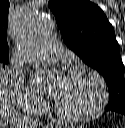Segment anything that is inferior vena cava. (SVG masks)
Returning <instances> with one entry per match:
<instances>
[{
	"label": "inferior vena cava",
	"instance_id": "obj_1",
	"mask_svg": "<svg viewBox=\"0 0 125 128\" xmlns=\"http://www.w3.org/2000/svg\"><path fill=\"white\" fill-rule=\"evenodd\" d=\"M29 122H30V125L35 124V121H33V120H30Z\"/></svg>",
	"mask_w": 125,
	"mask_h": 128
}]
</instances>
